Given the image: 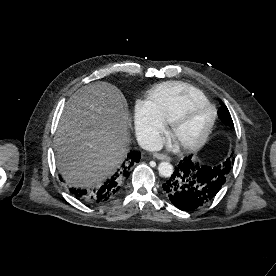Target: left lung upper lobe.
<instances>
[{"mask_svg":"<svg viewBox=\"0 0 276 276\" xmlns=\"http://www.w3.org/2000/svg\"><path fill=\"white\" fill-rule=\"evenodd\" d=\"M221 108L218 111V116L219 118L228 126L233 127V121L231 119L230 113L227 109L226 106H224V104L221 102ZM216 168L220 169L222 167L227 169V177L230 173V169H231V161L230 159H227L225 162H223L222 164L215 166Z\"/></svg>","mask_w":276,"mask_h":276,"instance_id":"5c2ea615","label":"left lung upper lobe"}]
</instances>
